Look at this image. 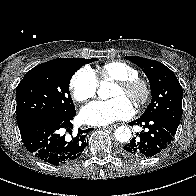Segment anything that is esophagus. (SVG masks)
I'll use <instances>...</instances> for the list:
<instances>
[{
	"mask_svg": "<svg viewBox=\"0 0 196 196\" xmlns=\"http://www.w3.org/2000/svg\"><path fill=\"white\" fill-rule=\"evenodd\" d=\"M117 127V125H111V126H106V127H104V128H106V129H114V128H116Z\"/></svg>",
	"mask_w": 196,
	"mask_h": 196,
	"instance_id": "34e87169",
	"label": "esophagus"
}]
</instances>
